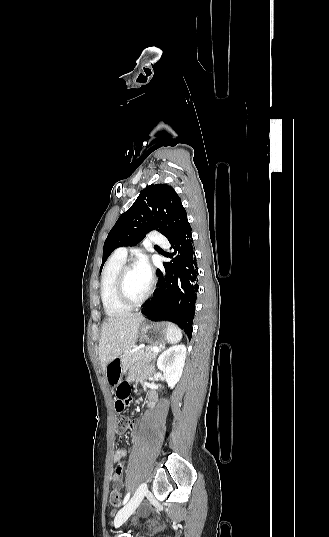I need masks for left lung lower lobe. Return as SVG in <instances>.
<instances>
[{
    "instance_id": "obj_1",
    "label": "left lung lower lobe",
    "mask_w": 329,
    "mask_h": 537,
    "mask_svg": "<svg viewBox=\"0 0 329 537\" xmlns=\"http://www.w3.org/2000/svg\"><path fill=\"white\" fill-rule=\"evenodd\" d=\"M191 226L187 221L171 240L170 262L164 263L165 275L156 270L158 289L144 303V313L158 320H169L192 336L195 302L198 292V267L193 249Z\"/></svg>"
}]
</instances>
